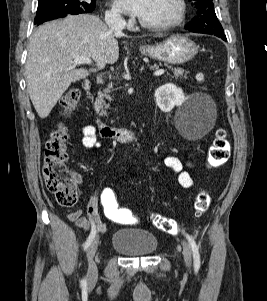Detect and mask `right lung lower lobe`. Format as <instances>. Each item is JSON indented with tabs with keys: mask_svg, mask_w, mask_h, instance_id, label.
<instances>
[{
	"mask_svg": "<svg viewBox=\"0 0 267 301\" xmlns=\"http://www.w3.org/2000/svg\"><path fill=\"white\" fill-rule=\"evenodd\" d=\"M65 16H67V15L53 16V17L47 18L46 20H44V21H42V22H40V23H36V24L39 25V24H41V23H43V22H45V21H49V20H53V19H57V18L65 17Z\"/></svg>",
	"mask_w": 267,
	"mask_h": 301,
	"instance_id": "obj_1",
	"label": "right lung lower lobe"
}]
</instances>
